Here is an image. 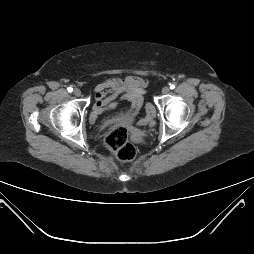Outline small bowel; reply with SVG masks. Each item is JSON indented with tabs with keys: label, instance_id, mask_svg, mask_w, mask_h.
<instances>
[{
	"label": "small bowel",
	"instance_id": "obj_1",
	"mask_svg": "<svg viewBox=\"0 0 254 254\" xmlns=\"http://www.w3.org/2000/svg\"><path fill=\"white\" fill-rule=\"evenodd\" d=\"M147 86V79L134 75L123 79L108 78L99 83L94 89L91 122H94L104 111L114 109L119 99H125L131 103L127 114L134 115L142 105ZM154 115V109L149 107L146 120L150 121Z\"/></svg>",
	"mask_w": 254,
	"mask_h": 254
}]
</instances>
